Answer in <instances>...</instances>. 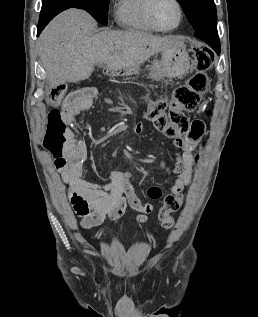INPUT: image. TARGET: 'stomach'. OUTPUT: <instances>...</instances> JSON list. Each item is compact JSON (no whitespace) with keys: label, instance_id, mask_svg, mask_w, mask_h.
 I'll return each mask as SVG.
<instances>
[{"label":"stomach","instance_id":"obj_1","mask_svg":"<svg viewBox=\"0 0 258 317\" xmlns=\"http://www.w3.org/2000/svg\"><path fill=\"white\" fill-rule=\"evenodd\" d=\"M190 56L186 44L179 42L178 46L162 50L161 60H153L151 70L153 74H166V76H182L190 68Z\"/></svg>","mask_w":258,"mask_h":317}]
</instances>
